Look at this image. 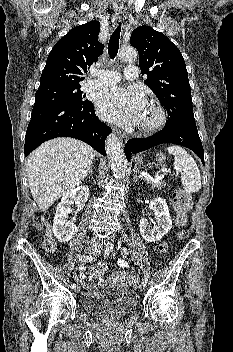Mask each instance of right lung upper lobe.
<instances>
[{
  "instance_id": "right-lung-upper-lobe-1",
  "label": "right lung upper lobe",
  "mask_w": 233,
  "mask_h": 352,
  "mask_svg": "<svg viewBox=\"0 0 233 352\" xmlns=\"http://www.w3.org/2000/svg\"><path fill=\"white\" fill-rule=\"evenodd\" d=\"M100 24L91 21L71 29L52 48L40 79L51 84L79 85L87 66L98 60L103 44L98 41Z\"/></svg>"
}]
</instances>
